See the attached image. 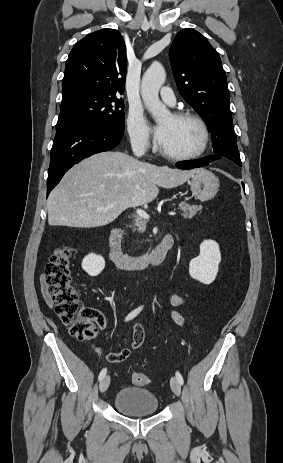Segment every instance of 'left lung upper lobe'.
Here are the masks:
<instances>
[{
  "instance_id": "left-lung-upper-lobe-1",
  "label": "left lung upper lobe",
  "mask_w": 283,
  "mask_h": 463,
  "mask_svg": "<svg viewBox=\"0 0 283 463\" xmlns=\"http://www.w3.org/2000/svg\"><path fill=\"white\" fill-rule=\"evenodd\" d=\"M169 58L180 94L212 133L214 153L241 166L219 54L199 32L186 28L174 38Z\"/></svg>"
}]
</instances>
